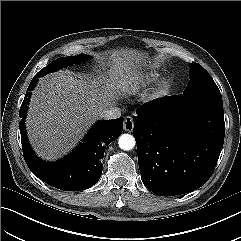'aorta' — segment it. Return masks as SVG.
I'll list each match as a JSON object with an SVG mask.
<instances>
[{
  "instance_id": "obj_1",
  "label": "aorta",
  "mask_w": 241,
  "mask_h": 241,
  "mask_svg": "<svg viewBox=\"0 0 241 241\" xmlns=\"http://www.w3.org/2000/svg\"><path fill=\"white\" fill-rule=\"evenodd\" d=\"M135 138L130 134H122L118 139L119 147L124 151H129L135 147Z\"/></svg>"
}]
</instances>
